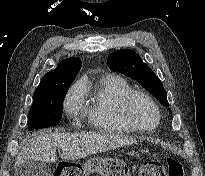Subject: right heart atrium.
Here are the masks:
<instances>
[{
    "label": "right heart atrium",
    "instance_id": "obj_1",
    "mask_svg": "<svg viewBox=\"0 0 205 176\" xmlns=\"http://www.w3.org/2000/svg\"><path fill=\"white\" fill-rule=\"evenodd\" d=\"M83 86L80 82L75 83L67 92L63 107L71 119H76L84 110Z\"/></svg>",
    "mask_w": 205,
    "mask_h": 176
}]
</instances>
